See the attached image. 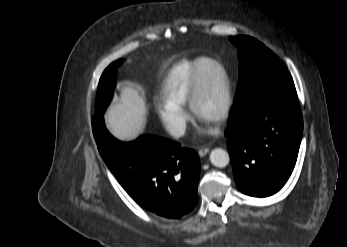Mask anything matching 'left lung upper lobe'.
Listing matches in <instances>:
<instances>
[{
  "label": "left lung upper lobe",
  "instance_id": "left-lung-upper-lobe-1",
  "mask_svg": "<svg viewBox=\"0 0 347 247\" xmlns=\"http://www.w3.org/2000/svg\"><path fill=\"white\" fill-rule=\"evenodd\" d=\"M229 39L238 48L239 82L236 100H242L258 82L269 75L287 72L280 59L258 40L249 36Z\"/></svg>",
  "mask_w": 347,
  "mask_h": 247
}]
</instances>
